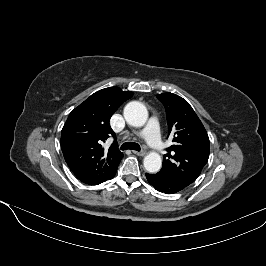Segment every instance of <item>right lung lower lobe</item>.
Masks as SVG:
<instances>
[{"mask_svg":"<svg viewBox=\"0 0 266 266\" xmlns=\"http://www.w3.org/2000/svg\"><path fill=\"white\" fill-rule=\"evenodd\" d=\"M115 174H116V171L108 178V179H106V180H109V179H112L114 176H115ZM106 180H104V181H102V182H105ZM102 182H100V183H102ZM100 183H98V184H100ZM97 185V184H96Z\"/></svg>","mask_w":266,"mask_h":266,"instance_id":"1","label":"right lung lower lobe"}]
</instances>
